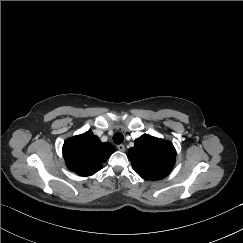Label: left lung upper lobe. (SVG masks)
Segmentation results:
<instances>
[{
    "instance_id": "1",
    "label": "left lung upper lobe",
    "mask_w": 243,
    "mask_h": 243,
    "mask_svg": "<svg viewBox=\"0 0 243 243\" xmlns=\"http://www.w3.org/2000/svg\"><path fill=\"white\" fill-rule=\"evenodd\" d=\"M127 156L133 169L146 180H159L171 172L176 151L170 141L144 134L134 141Z\"/></svg>"
}]
</instances>
